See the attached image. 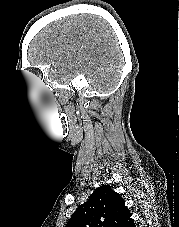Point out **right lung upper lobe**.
Masks as SVG:
<instances>
[{"label": "right lung upper lobe", "mask_w": 179, "mask_h": 227, "mask_svg": "<svg viewBox=\"0 0 179 227\" xmlns=\"http://www.w3.org/2000/svg\"><path fill=\"white\" fill-rule=\"evenodd\" d=\"M131 215L120 194L103 185L77 208L66 227H132Z\"/></svg>", "instance_id": "right-lung-upper-lobe-1"}]
</instances>
